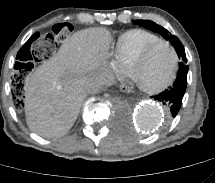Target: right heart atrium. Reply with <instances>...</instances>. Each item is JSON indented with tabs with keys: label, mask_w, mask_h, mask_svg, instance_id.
<instances>
[{
	"label": "right heart atrium",
	"mask_w": 215,
	"mask_h": 183,
	"mask_svg": "<svg viewBox=\"0 0 215 183\" xmlns=\"http://www.w3.org/2000/svg\"><path fill=\"white\" fill-rule=\"evenodd\" d=\"M111 66L116 74L123 73L125 69L121 62L116 57H114V59L112 60Z\"/></svg>",
	"instance_id": "d8ad5b80"
}]
</instances>
